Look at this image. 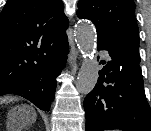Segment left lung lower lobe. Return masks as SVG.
<instances>
[{
  "label": "left lung lower lobe",
  "mask_w": 151,
  "mask_h": 131,
  "mask_svg": "<svg viewBox=\"0 0 151 131\" xmlns=\"http://www.w3.org/2000/svg\"><path fill=\"white\" fill-rule=\"evenodd\" d=\"M108 51V61L99 71L98 84L86 96V131H151V111L144 92L139 64Z\"/></svg>",
  "instance_id": "0a47b994"
}]
</instances>
